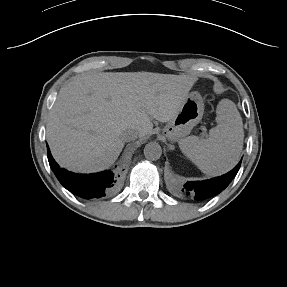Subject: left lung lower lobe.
<instances>
[{
    "label": "left lung lower lobe",
    "mask_w": 287,
    "mask_h": 287,
    "mask_svg": "<svg viewBox=\"0 0 287 287\" xmlns=\"http://www.w3.org/2000/svg\"><path fill=\"white\" fill-rule=\"evenodd\" d=\"M240 165L241 161L233 170L220 177L204 181L188 182L184 185V188L178 191L184 198L204 201L223 191L237 174Z\"/></svg>",
    "instance_id": "obj_1"
}]
</instances>
